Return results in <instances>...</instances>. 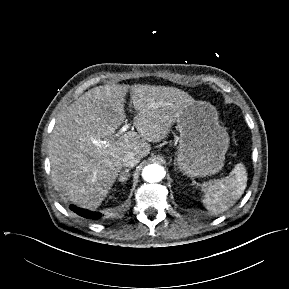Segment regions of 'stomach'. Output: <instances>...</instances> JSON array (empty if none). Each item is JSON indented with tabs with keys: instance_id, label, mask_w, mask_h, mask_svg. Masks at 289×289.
I'll list each match as a JSON object with an SVG mask.
<instances>
[{
	"instance_id": "0dacf381",
	"label": "stomach",
	"mask_w": 289,
	"mask_h": 289,
	"mask_svg": "<svg viewBox=\"0 0 289 289\" xmlns=\"http://www.w3.org/2000/svg\"><path fill=\"white\" fill-rule=\"evenodd\" d=\"M180 133L176 165L188 176H206L219 172L229 147V135L219 124L216 108L195 101L184 107L176 119Z\"/></svg>"
}]
</instances>
